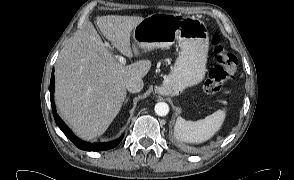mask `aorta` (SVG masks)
I'll use <instances>...</instances> for the list:
<instances>
[{
    "mask_svg": "<svg viewBox=\"0 0 294 180\" xmlns=\"http://www.w3.org/2000/svg\"><path fill=\"white\" fill-rule=\"evenodd\" d=\"M154 110L158 116H166L169 113V105L165 102H158Z\"/></svg>",
    "mask_w": 294,
    "mask_h": 180,
    "instance_id": "1",
    "label": "aorta"
}]
</instances>
